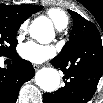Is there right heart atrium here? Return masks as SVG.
Listing matches in <instances>:
<instances>
[{"label": "right heart atrium", "instance_id": "1", "mask_svg": "<svg viewBox=\"0 0 103 103\" xmlns=\"http://www.w3.org/2000/svg\"><path fill=\"white\" fill-rule=\"evenodd\" d=\"M25 30H26V23H23V24L19 27L18 37H21L22 34L25 32Z\"/></svg>", "mask_w": 103, "mask_h": 103}]
</instances>
